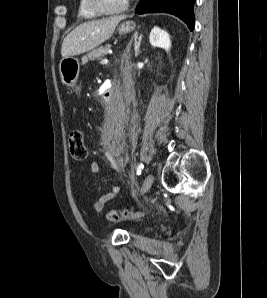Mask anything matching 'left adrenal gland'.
Masks as SVG:
<instances>
[{
	"label": "left adrenal gland",
	"mask_w": 267,
	"mask_h": 298,
	"mask_svg": "<svg viewBox=\"0 0 267 298\" xmlns=\"http://www.w3.org/2000/svg\"><path fill=\"white\" fill-rule=\"evenodd\" d=\"M141 40H142V35H140L138 37V33H134V35L132 36L131 40L129 41L126 51H125V55H129L130 56V49H131V45L134 41V50H135V57H137L140 54V44H141Z\"/></svg>",
	"instance_id": "a2214340"
}]
</instances>
